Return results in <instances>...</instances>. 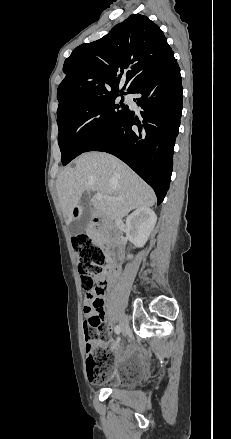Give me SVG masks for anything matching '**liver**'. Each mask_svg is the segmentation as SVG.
<instances>
[{
	"instance_id": "obj_1",
	"label": "liver",
	"mask_w": 231,
	"mask_h": 439,
	"mask_svg": "<svg viewBox=\"0 0 231 439\" xmlns=\"http://www.w3.org/2000/svg\"><path fill=\"white\" fill-rule=\"evenodd\" d=\"M58 198L66 223L85 190L101 193L105 198L94 200V208L110 220L121 219L134 209L153 206L156 196L132 169L118 158L101 152H89L75 160V167H66L56 183Z\"/></svg>"
}]
</instances>
